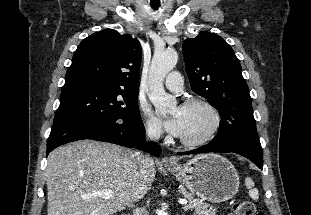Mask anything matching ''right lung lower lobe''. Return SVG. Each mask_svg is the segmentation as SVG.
<instances>
[{"instance_id": "right-lung-lower-lobe-1", "label": "right lung lower lobe", "mask_w": 311, "mask_h": 215, "mask_svg": "<svg viewBox=\"0 0 311 215\" xmlns=\"http://www.w3.org/2000/svg\"><path fill=\"white\" fill-rule=\"evenodd\" d=\"M144 125L141 117L131 123L104 122L92 120H67L53 124L47 141L48 155L56 147L82 139H92L135 147L154 156H159L161 148L154 142L144 143Z\"/></svg>"}]
</instances>
